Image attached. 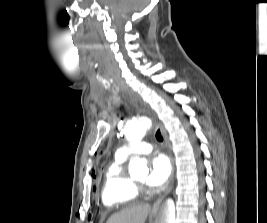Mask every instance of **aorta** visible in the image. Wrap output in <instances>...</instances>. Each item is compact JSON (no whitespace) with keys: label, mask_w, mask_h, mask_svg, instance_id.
Returning <instances> with one entry per match:
<instances>
[{"label":"aorta","mask_w":267,"mask_h":223,"mask_svg":"<svg viewBox=\"0 0 267 223\" xmlns=\"http://www.w3.org/2000/svg\"><path fill=\"white\" fill-rule=\"evenodd\" d=\"M149 127L150 121L148 119L131 121L126 124L124 133L127 140L133 146H136L145 136ZM129 172L131 175L147 173L148 167L146 161L140 158H134L129 163ZM156 223H175V203L171 198L166 199L162 203Z\"/></svg>","instance_id":"1"}]
</instances>
